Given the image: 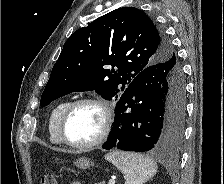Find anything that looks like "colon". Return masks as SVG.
I'll use <instances>...</instances> for the list:
<instances>
[{
	"label": "colon",
	"mask_w": 224,
	"mask_h": 184,
	"mask_svg": "<svg viewBox=\"0 0 224 184\" xmlns=\"http://www.w3.org/2000/svg\"><path fill=\"white\" fill-rule=\"evenodd\" d=\"M41 184H58L56 178L51 173H45L41 177Z\"/></svg>",
	"instance_id": "obj_1"
}]
</instances>
